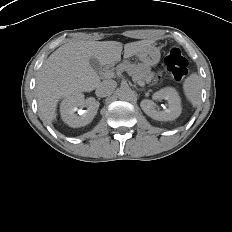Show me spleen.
Instances as JSON below:
<instances>
[{
	"label": "spleen",
	"mask_w": 232,
	"mask_h": 232,
	"mask_svg": "<svg viewBox=\"0 0 232 232\" xmlns=\"http://www.w3.org/2000/svg\"><path fill=\"white\" fill-rule=\"evenodd\" d=\"M201 80L197 73L190 74L183 82V91L187 100L197 107L201 101Z\"/></svg>",
	"instance_id": "3e777b00"
}]
</instances>
